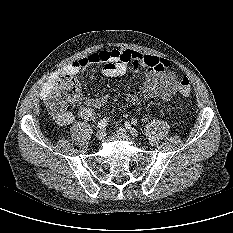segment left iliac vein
<instances>
[{
  "instance_id": "4c4485c4",
  "label": "left iliac vein",
  "mask_w": 233,
  "mask_h": 233,
  "mask_svg": "<svg viewBox=\"0 0 233 233\" xmlns=\"http://www.w3.org/2000/svg\"><path fill=\"white\" fill-rule=\"evenodd\" d=\"M130 133H131V135L133 136V137H137L138 136V131L136 130V129H134V128H132L131 130H130ZM117 134L121 137V138H123V139H126V140H128V138H129V135L127 134V131L124 129V128H119L118 130H117Z\"/></svg>"
}]
</instances>
